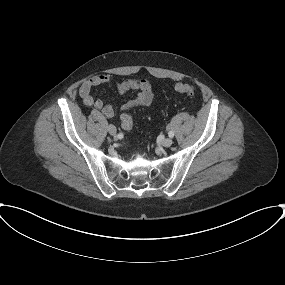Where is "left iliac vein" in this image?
I'll use <instances>...</instances> for the list:
<instances>
[{
	"mask_svg": "<svg viewBox=\"0 0 285 285\" xmlns=\"http://www.w3.org/2000/svg\"><path fill=\"white\" fill-rule=\"evenodd\" d=\"M173 141L171 138H165L163 141H162V145L164 147H170L172 145Z\"/></svg>",
	"mask_w": 285,
	"mask_h": 285,
	"instance_id": "left-iliac-vein-1",
	"label": "left iliac vein"
}]
</instances>
